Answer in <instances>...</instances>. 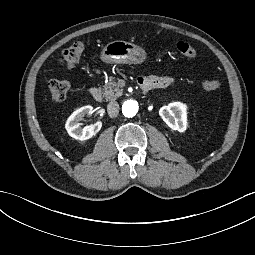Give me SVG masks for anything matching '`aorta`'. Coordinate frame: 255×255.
I'll return each mask as SVG.
<instances>
[{"instance_id":"1","label":"aorta","mask_w":255,"mask_h":255,"mask_svg":"<svg viewBox=\"0 0 255 255\" xmlns=\"http://www.w3.org/2000/svg\"><path fill=\"white\" fill-rule=\"evenodd\" d=\"M138 103L134 100H127L122 105V112L125 117L132 118L138 112Z\"/></svg>"}]
</instances>
